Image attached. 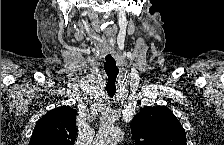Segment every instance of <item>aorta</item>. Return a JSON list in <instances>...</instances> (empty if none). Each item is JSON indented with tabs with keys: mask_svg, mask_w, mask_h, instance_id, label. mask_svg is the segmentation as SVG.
Segmentation results:
<instances>
[{
	"mask_svg": "<svg viewBox=\"0 0 224 145\" xmlns=\"http://www.w3.org/2000/svg\"><path fill=\"white\" fill-rule=\"evenodd\" d=\"M123 131L114 126L102 128L97 135L98 145H117L123 138Z\"/></svg>",
	"mask_w": 224,
	"mask_h": 145,
	"instance_id": "1",
	"label": "aorta"
}]
</instances>
